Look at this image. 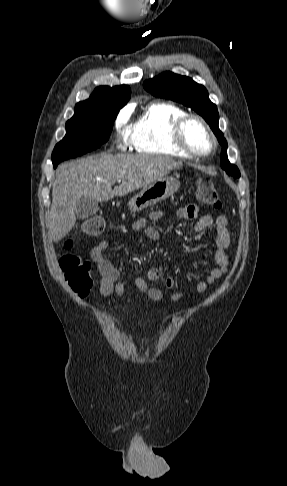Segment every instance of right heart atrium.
Listing matches in <instances>:
<instances>
[{
  "label": "right heart atrium",
  "instance_id": "obj_1",
  "mask_svg": "<svg viewBox=\"0 0 287 486\" xmlns=\"http://www.w3.org/2000/svg\"><path fill=\"white\" fill-rule=\"evenodd\" d=\"M126 120H127V115L125 113H120L115 120V127L118 130H121L123 128V126L125 125ZM127 146H128V141H127V139L124 138L121 142V147L125 148Z\"/></svg>",
  "mask_w": 287,
  "mask_h": 486
}]
</instances>
